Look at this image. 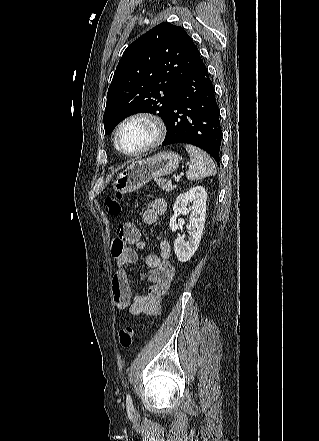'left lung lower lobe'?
<instances>
[{
    "instance_id": "1",
    "label": "left lung lower lobe",
    "mask_w": 319,
    "mask_h": 441,
    "mask_svg": "<svg viewBox=\"0 0 319 441\" xmlns=\"http://www.w3.org/2000/svg\"><path fill=\"white\" fill-rule=\"evenodd\" d=\"M166 128L163 146L192 144L205 150L219 164L222 139L220 112L202 60L178 87Z\"/></svg>"
}]
</instances>
